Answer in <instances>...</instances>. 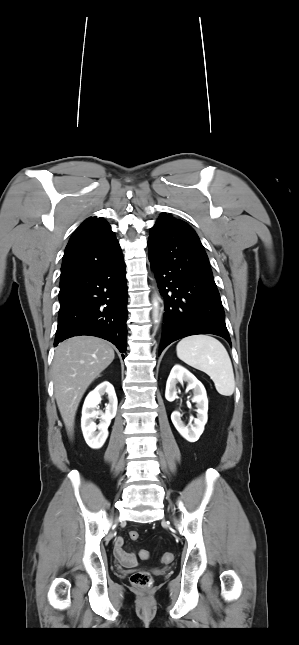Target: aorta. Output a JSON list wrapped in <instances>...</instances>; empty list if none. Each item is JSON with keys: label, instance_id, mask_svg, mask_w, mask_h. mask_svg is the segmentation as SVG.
<instances>
[{"label": "aorta", "instance_id": "762f6f07", "mask_svg": "<svg viewBox=\"0 0 299 645\" xmlns=\"http://www.w3.org/2000/svg\"><path fill=\"white\" fill-rule=\"evenodd\" d=\"M157 305H158V303L155 301V302H154V306H155L156 308H157ZM154 316H155V318L157 317V311H155Z\"/></svg>", "mask_w": 299, "mask_h": 645}]
</instances>
